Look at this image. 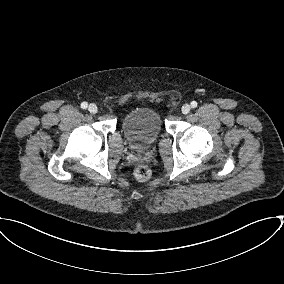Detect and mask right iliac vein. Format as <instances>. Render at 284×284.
Returning <instances> with one entry per match:
<instances>
[{"instance_id": "right-iliac-vein-1", "label": "right iliac vein", "mask_w": 284, "mask_h": 284, "mask_svg": "<svg viewBox=\"0 0 284 284\" xmlns=\"http://www.w3.org/2000/svg\"><path fill=\"white\" fill-rule=\"evenodd\" d=\"M88 111H89L90 113H92V114H95V113H97L98 108H97V106H96L95 104H90V105L88 106Z\"/></svg>"}]
</instances>
